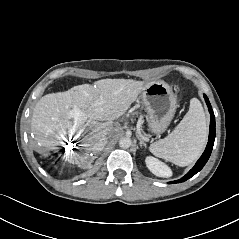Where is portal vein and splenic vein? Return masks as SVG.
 <instances>
[{
    "label": "portal vein and splenic vein",
    "mask_w": 239,
    "mask_h": 239,
    "mask_svg": "<svg viewBox=\"0 0 239 239\" xmlns=\"http://www.w3.org/2000/svg\"><path fill=\"white\" fill-rule=\"evenodd\" d=\"M68 115L70 118H73V126L69 129V134L73 135L76 131L80 133V129L87 117L86 114L79 108L75 107L69 110Z\"/></svg>",
    "instance_id": "obj_1"
}]
</instances>
